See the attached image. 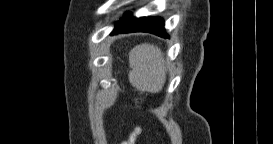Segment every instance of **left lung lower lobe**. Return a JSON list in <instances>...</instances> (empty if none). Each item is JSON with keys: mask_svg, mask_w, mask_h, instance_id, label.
Returning <instances> with one entry per match:
<instances>
[{"mask_svg": "<svg viewBox=\"0 0 273 144\" xmlns=\"http://www.w3.org/2000/svg\"><path fill=\"white\" fill-rule=\"evenodd\" d=\"M129 32H149L164 38H168V35L164 29L163 19L160 17H124L117 23L112 34Z\"/></svg>", "mask_w": 273, "mask_h": 144, "instance_id": "obj_1", "label": "left lung lower lobe"}]
</instances>
